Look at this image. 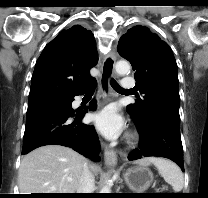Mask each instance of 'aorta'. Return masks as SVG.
I'll return each mask as SVG.
<instances>
[{"instance_id":"1","label":"aorta","mask_w":208,"mask_h":198,"mask_svg":"<svg viewBox=\"0 0 208 198\" xmlns=\"http://www.w3.org/2000/svg\"><path fill=\"white\" fill-rule=\"evenodd\" d=\"M115 69L118 74L125 75L130 71V64L127 61L121 60L116 63ZM101 193H111L109 181L102 187Z\"/></svg>"}]
</instances>
